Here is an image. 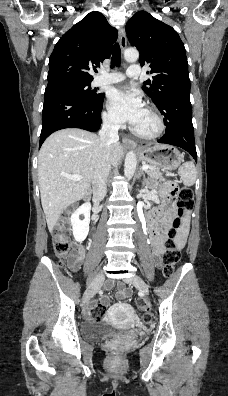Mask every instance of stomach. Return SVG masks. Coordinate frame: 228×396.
<instances>
[{
  "label": "stomach",
  "instance_id": "obj_1",
  "mask_svg": "<svg viewBox=\"0 0 228 396\" xmlns=\"http://www.w3.org/2000/svg\"><path fill=\"white\" fill-rule=\"evenodd\" d=\"M139 158L164 170H175L183 161V156L179 150L167 144H156L152 147L142 148L139 150Z\"/></svg>",
  "mask_w": 228,
  "mask_h": 396
}]
</instances>
